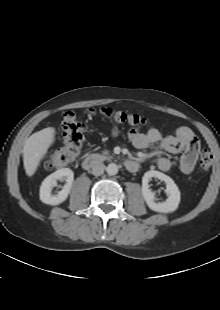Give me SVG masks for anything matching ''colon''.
<instances>
[{"label": "colon", "instance_id": "obj_1", "mask_svg": "<svg viewBox=\"0 0 220 310\" xmlns=\"http://www.w3.org/2000/svg\"><path fill=\"white\" fill-rule=\"evenodd\" d=\"M106 115L117 122H128L133 126H144L147 119L139 114H127L122 111L114 112L106 110ZM63 131L62 146L50 151L45 160L47 169L67 166L73 163L79 156L84 142V125L73 112H66L61 122ZM213 162V156L208 150H202L199 158V166L202 170H208Z\"/></svg>", "mask_w": 220, "mask_h": 310}]
</instances>
